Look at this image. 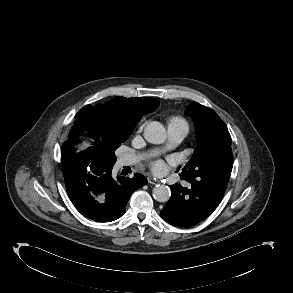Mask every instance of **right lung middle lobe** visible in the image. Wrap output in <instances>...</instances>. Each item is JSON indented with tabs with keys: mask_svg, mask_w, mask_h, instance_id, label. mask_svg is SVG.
Returning <instances> with one entry per match:
<instances>
[{
	"mask_svg": "<svg viewBox=\"0 0 293 293\" xmlns=\"http://www.w3.org/2000/svg\"><path fill=\"white\" fill-rule=\"evenodd\" d=\"M129 137H114L109 141H103L102 145L94 152L95 158H101L108 163H115V150Z\"/></svg>",
	"mask_w": 293,
	"mask_h": 293,
	"instance_id": "obj_1",
	"label": "right lung middle lobe"
}]
</instances>
